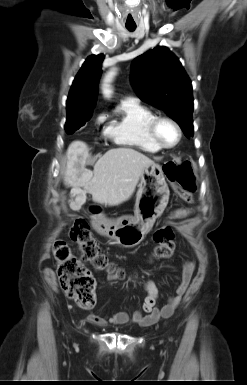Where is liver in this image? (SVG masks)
I'll list each match as a JSON object with an SVG mask.
<instances>
[{"mask_svg":"<svg viewBox=\"0 0 247 385\" xmlns=\"http://www.w3.org/2000/svg\"><path fill=\"white\" fill-rule=\"evenodd\" d=\"M64 185L71 187L72 210H79L86 201V193H91L96 203L119 205L130 199L146 166L153 163L144 154L132 148L108 150L94 165V170L86 168L90 164L89 150L82 141L72 142L66 153Z\"/></svg>","mask_w":247,"mask_h":385,"instance_id":"1","label":"liver"}]
</instances>
